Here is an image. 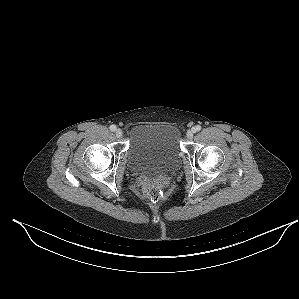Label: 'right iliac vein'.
<instances>
[{
	"label": "right iliac vein",
	"mask_w": 299,
	"mask_h": 299,
	"mask_svg": "<svg viewBox=\"0 0 299 299\" xmlns=\"http://www.w3.org/2000/svg\"><path fill=\"white\" fill-rule=\"evenodd\" d=\"M115 135L117 138H121L123 136V131L121 129H117Z\"/></svg>",
	"instance_id": "1"
}]
</instances>
